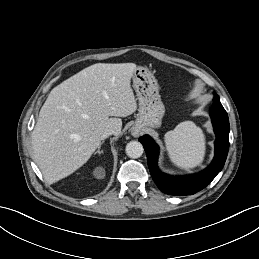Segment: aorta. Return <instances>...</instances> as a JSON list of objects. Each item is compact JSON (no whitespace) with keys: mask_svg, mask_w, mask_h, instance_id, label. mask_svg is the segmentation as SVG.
Returning <instances> with one entry per match:
<instances>
[{"mask_svg":"<svg viewBox=\"0 0 259 259\" xmlns=\"http://www.w3.org/2000/svg\"><path fill=\"white\" fill-rule=\"evenodd\" d=\"M126 154L130 158H139L142 156L144 148L138 141H131L126 145Z\"/></svg>","mask_w":259,"mask_h":259,"instance_id":"aorta-1","label":"aorta"}]
</instances>
